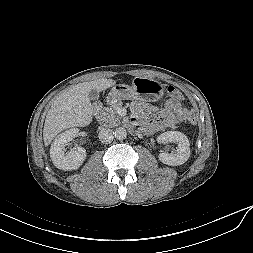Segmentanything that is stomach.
<instances>
[{"label": "stomach", "instance_id": "obj_1", "mask_svg": "<svg viewBox=\"0 0 253 253\" xmlns=\"http://www.w3.org/2000/svg\"><path fill=\"white\" fill-rule=\"evenodd\" d=\"M164 94V86L160 82L146 77H135L131 85H115L107 97L109 104L122 100L158 101Z\"/></svg>", "mask_w": 253, "mask_h": 253}]
</instances>
